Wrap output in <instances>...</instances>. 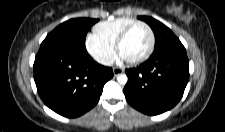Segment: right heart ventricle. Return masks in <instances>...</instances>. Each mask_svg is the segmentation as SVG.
<instances>
[{
    "mask_svg": "<svg viewBox=\"0 0 225 132\" xmlns=\"http://www.w3.org/2000/svg\"><path fill=\"white\" fill-rule=\"evenodd\" d=\"M136 22L133 18L121 17L99 22L94 26V35L101 41L114 46L117 38L129 25Z\"/></svg>",
    "mask_w": 225,
    "mask_h": 132,
    "instance_id": "right-heart-ventricle-1",
    "label": "right heart ventricle"
}]
</instances>
